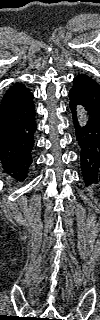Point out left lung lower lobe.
I'll list each match as a JSON object with an SVG mask.
<instances>
[{
    "label": "left lung lower lobe",
    "instance_id": "1",
    "mask_svg": "<svg viewBox=\"0 0 100 320\" xmlns=\"http://www.w3.org/2000/svg\"><path fill=\"white\" fill-rule=\"evenodd\" d=\"M69 98L81 153L83 179L90 185L100 180V86L89 76L79 75L73 79ZM77 106H82L87 111L88 120L85 125L78 121Z\"/></svg>",
    "mask_w": 100,
    "mask_h": 320
}]
</instances>
